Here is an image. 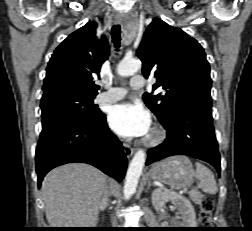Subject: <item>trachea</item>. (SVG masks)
<instances>
[{
  "label": "trachea",
  "instance_id": "trachea-1",
  "mask_svg": "<svg viewBox=\"0 0 252 231\" xmlns=\"http://www.w3.org/2000/svg\"><path fill=\"white\" fill-rule=\"evenodd\" d=\"M112 41L115 47L118 49L120 47L121 41V28L120 25H114L111 29Z\"/></svg>",
  "mask_w": 252,
  "mask_h": 231
}]
</instances>
